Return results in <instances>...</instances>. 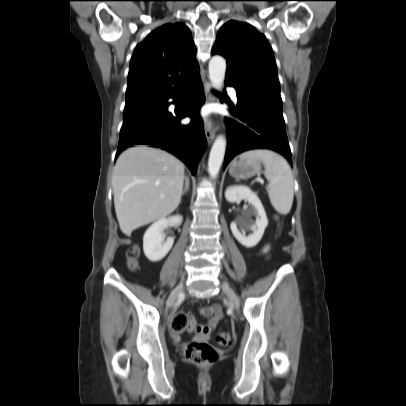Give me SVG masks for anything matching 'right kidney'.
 <instances>
[{"instance_id": "1", "label": "right kidney", "mask_w": 406, "mask_h": 406, "mask_svg": "<svg viewBox=\"0 0 406 406\" xmlns=\"http://www.w3.org/2000/svg\"><path fill=\"white\" fill-rule=\"evenodd\" d=\"M181 223V216H171L167 219L163 218L154 222L147 229L143 237V250L150 261H160L167 255L173 246L174 239L171 237L164 242L163 230L170 225L177 227Z\"/></svg>"}]
</instances>
